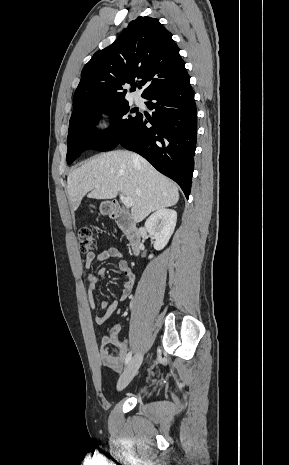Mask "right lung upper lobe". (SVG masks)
Returning a JSON list of instances; mask_svg holds the SVG:
<instances>
[{
  "mask_svg": "<svg viewBox=\"0 0 289 465\" xmlns=\"http://www.w3.org/2000/svg\"><path fill=\"white\" fill-rule=\"evenodd\" d=\"M137 78L141 79L139 88L146 85L143 98L189 80L172 34L156 18L138 17L131 21L112 45L96 52L85 65L74 93L69 127L75 122L80 105L125 99L124 86H134Z\"/></svg>",
  "mask_w": 289,
  "mask_h": 465,
  "instance_id": "cb5924a9",
  "label": "right lung upper lobe"
}]
</instances>
